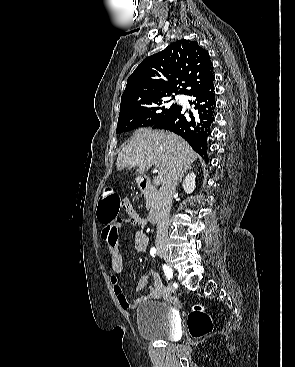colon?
<instances>
[{
  "instance_id": "colon-1",
  "label": "colon",
  "mask_w": 295,
  "mask_h": 367,
  "mask_svg": "<svg viewBox=\"0 0 295 367\" xmlns=\"http://www.w3.org/2000/svg\"><path fill=\"white\" fill-rule=\"evenodd\" d=\"M123 201L112 187H105L100 197L98 218L101 223H109L117 219ZM187 325L193 338H202L213 329L211 317L203 307L196 305L188 314Z\"/></svg>"
}]
</instances>
